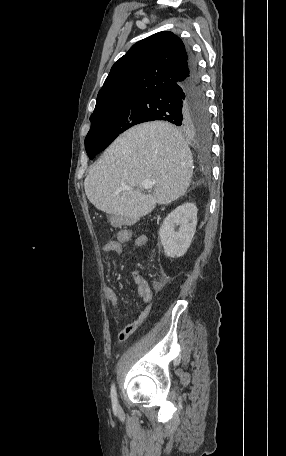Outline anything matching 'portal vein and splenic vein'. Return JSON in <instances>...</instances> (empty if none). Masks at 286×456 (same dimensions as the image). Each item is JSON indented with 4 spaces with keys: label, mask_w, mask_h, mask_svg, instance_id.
Instances as JSON below:
<instances>
[{
    "label": "portal vein and splenic vein",
    "mask_w": 286,
    "mask_h": 456,
    "mask_svg": "<svg viewBox=\"0 0 286 456\" xmlns=\"http://www.w3.org/2000/svg\"><path fill=\"white\" fill-rule=\"evenodd\" d=\"M155 182L154 181H151V180H144L142 183H141V186L144 188V189H151L153 186H154Z\"/></svg>",
    "instance_id": "portal-vein-and-splenic-vein-1"
}]
</instances>
